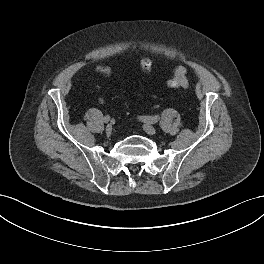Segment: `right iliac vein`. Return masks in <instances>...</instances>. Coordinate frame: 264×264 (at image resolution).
Listing matches in <instances>:
<instances>
[{
	"label": "right iliac vein",
	"mask_w": 264,
	"mask_h": 264,
	"mask_svg": "<svg viewBox=\"0 0 264 264\" xmlns=\"http://www.w3.org/2000/svg\"><path fill=\"white\" fill-rule=\"evenodd\" d=\"M112 133V126L111 125H107L106 127V134L110 135Z\"/></svg>",
	"instance_id": "63e3f726"
}]
</instances>
